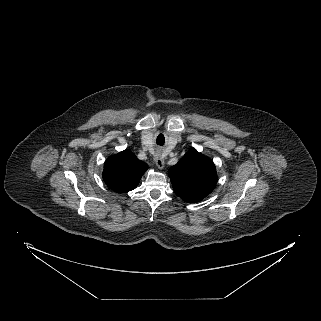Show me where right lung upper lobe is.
Returning <instances> with one entry per match:
<instances>
[{"label": "right lung upper lobe", "mask_w": 321, "mask_h": 321, "mask_svg": "<svg viewBox=\"0 0 321 321\" xmlns=\"http://www.w3.org/2000/svg\"><path fill=\"white\" fill-rule=\"evenodd\" d=\"M147 169L146 163L138 160L132 152L125 150L110 156L105 161L103 179L113 191L124 193L137 187Z\"/></svg>", "instance_id": "obj_1"}]
</instances>
